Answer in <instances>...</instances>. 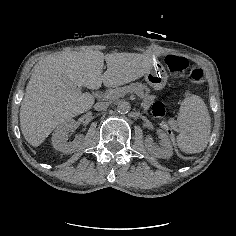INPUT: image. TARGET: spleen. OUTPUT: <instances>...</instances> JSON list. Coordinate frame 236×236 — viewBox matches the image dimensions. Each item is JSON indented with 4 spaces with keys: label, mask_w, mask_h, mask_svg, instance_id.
<instances>
[{
    "label": "spleen",
    "mask_w": 236,
    "mask_h": 236,
    "mask_svg": "<svg viewBox=\"0 0 236 236\" xmlns=\"http://www.w3.org/2000/svg\"><path fill=\"white\" fill-rule=\"evenodd\" d=\"M177 144L186 154L202 152L211 133V119L204 101L197 95L185 98L178 115Z\"/></svg>",
    "instance_id": "obj_1"
}]
</instances>
